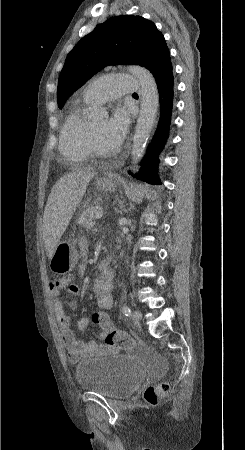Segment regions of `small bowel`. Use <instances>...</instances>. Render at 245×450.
Masks as SVG:
<instances>
[{"label": "small bowel", "instance_id": "obj_1", "mask_svg": "<svg viewBox=\"0 0 245 450\" xmlns=\"http://www.w3.org/2000/svg\"><path fill=\"white\" fill-rule=\"evenodd\" d=\"M83 271V268L79 269L80 273ZM113 280V270L103 272L95 279L93 291L96 295V306L98 309L107 310L113 306ZM71 281L72 277H67L58 286H54L50 281V294L52 297V309L61 329V338L67 350L68 360L70 363L76 364L83 357L92 356L100 351H108L110 350V347L105 344H99L95 340L85 342L77 339L72 330L70 319L65 312V305L61 298V293L65 290L71 296V299L68 302L69 306L75 307L76 298L84 296L85 291L78 285L72 284ZM103 334L104 333L101 330L99 336L103 337Z\"/></svg>", "mask_w": 245, "mask_h": 450}]
</instances>
